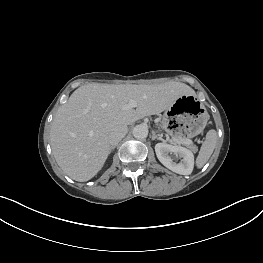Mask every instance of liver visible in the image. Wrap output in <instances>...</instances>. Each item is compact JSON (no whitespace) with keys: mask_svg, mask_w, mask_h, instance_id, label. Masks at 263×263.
Instances as JSON below:
<instances>
[{"mask_svg":"<svg viewBox=\"0 0 263 263\" xmlns=\"http://www.w3.org/2000/svg\"><path fill=\"white\" fill-rule=\"evenodd\" d=\"M193 89L180 82L158 85L90 83L76 89L56 112L50 131L53 155L63 172L85 182L103 167L111 152L109 135L120 126L159 114ZM136 109H124L130 101Z\"/></svg>","mask_w":263,"mask_h":263,"instance_id":"liver-1","label":"liver"}]
</instances>
